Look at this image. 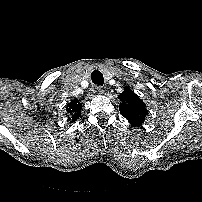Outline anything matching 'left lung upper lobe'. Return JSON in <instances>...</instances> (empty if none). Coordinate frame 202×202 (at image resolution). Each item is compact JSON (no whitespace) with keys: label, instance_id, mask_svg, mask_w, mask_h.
I'll use <instances>...</instances> for the list:
<instances>
[{"label":"left lung upper lobe","instance_id":"5c2ea615","mask_svg":"<svg viewBox=\"0 0 202 202\" xmlns=\"http://www.w3.org/2000/svg\"><path fill=\"white\" fill-rule=\"evenodd\" d=\"M122 101L119 110L131 125H141L147 115L145 103L130 88H125L118 96Z\"/></svg>","mask_w":202,"mask_h":202}]
</instances>
